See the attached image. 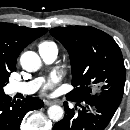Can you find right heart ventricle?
Instances as JSON below:
<instances>
[{
  "instance_id": "1",
  "label": "right heart ventricle",
  "mask_w": 130,
  "mask_h": 130,
  "mask_svg": "<svg viewBox=\"0 0 130 130\" xmlns=\"http://www.w3.org/2000/svg\"><path fill=\"white\" fill-rule=\"evenodd\" d=\"M52 47H56V45L54 42L51 41H43L39 44V50L45 48H52Z\"/></svg>"
}]
</instances>
